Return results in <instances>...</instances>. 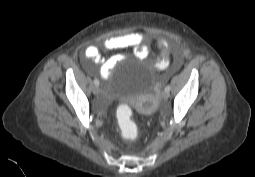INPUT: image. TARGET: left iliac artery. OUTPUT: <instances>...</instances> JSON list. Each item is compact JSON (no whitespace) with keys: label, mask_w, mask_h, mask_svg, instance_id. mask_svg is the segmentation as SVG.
I'll list each match as a JSON object with an SVG mask.
<instances>
[{"label":"left iliac artery","mask_w":255,"mask_h":177,"mask_svg":"<svg viewBox=\"0 0 255 177\" xmlns=\"http://www.w3.org/2000/svg\"><path fill=\"white\" fill-rule=\"evenodd\" d=\"M165 90H166V91H170V85H167V86L165 87Z\"/></svg>","instance_id":"44dca946"}]
</instances>
